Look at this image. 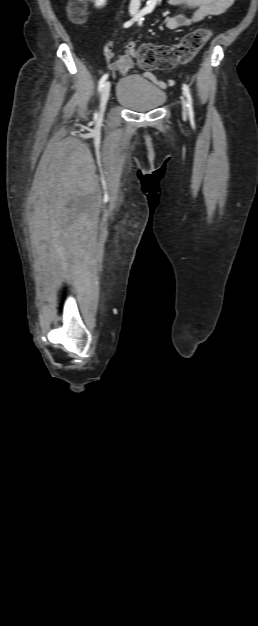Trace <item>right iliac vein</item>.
<instances>
[{
    "instance_id": "63e3f726",
    "label": "right iliac vein",
    "mask_w": 258,
    "mask_h": 626,
    "mask_svg": "<svg viewBox=\"0 0 258 626\" xmlns=\"http://www.w3.org/2000/svg\"><path fill=\"white\" fill-rule=\"evenodd\" d=\"M110 88H111V83L109 81L105 82L102 88V94H101V99H100L99 114H98L99 118H102L104 115L106 105L110 96Z\"/></svg>"
}]
</instances>
